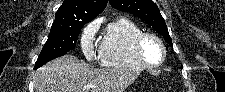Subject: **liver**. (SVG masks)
<instances>
[{"label": "liver", "instance_id": "obj_1", "mask_svg": "<svg viewBox=\"0 0 225 92\" xmlns=\"http://www.w3.org/2000/svg\"><path fill=\"white\" fill-rule=\"evenodd\" d=\"M135 69H96L73 55L56 58L35 73V92H124L139 76Z\"/></svg>", "mask_w": 225, "mask_h": 92}]
</instances>
